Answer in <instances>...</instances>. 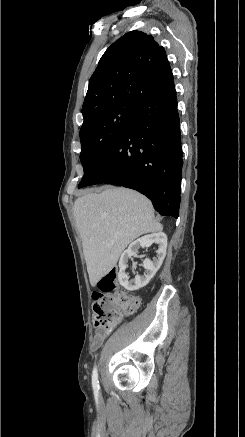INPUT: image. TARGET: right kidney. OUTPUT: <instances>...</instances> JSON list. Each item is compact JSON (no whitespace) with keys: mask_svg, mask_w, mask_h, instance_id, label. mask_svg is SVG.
Returning a JSON list of instances; mask_svg holds the SVG:
<instances>
[{"mask_svg":"<svg viewBox=\"0 0 245 437\" xmlns=\"http://www.w3.org/2000/svg\"><path fill=\"white\" fill-rule=\"evenodd\" d=\"M153 243L158 244L156 257L153 259L146 258L143 260V267L145 269L142 276L136 275L134 279L129 280L125 270L128 267L127 263L131 256L135 255L141 247H150ZM167 236L163 232H157L145 235L133 241L127 250H125L119 260V283L128 291H136L146 286L154 277L166 255Z\"/></svg>","mask_w":245,"mask_h":437,"instance_id":"ca27d5eb","label":"right kidney"}]
</instances>
